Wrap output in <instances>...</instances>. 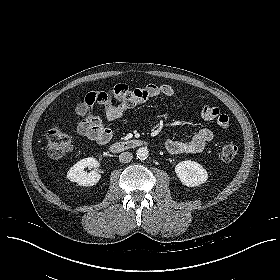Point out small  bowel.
I'll use <instances>...</instances> for the list:
<instances>
[{
    "label": "small bowel",
    "instance_id": "small-bowel-1",
    "mask_svg": "<svg viewBox=\"0 0 280 280\" xmlns=\"http://www.w3.org/2000/svg\"><path fill=\"white\" fill-rule=\"evenodd\" d=\"M174 94V88L168 84H149L137 89H131L127 84H118L110 91H90L75 109L77 116L80 118L77 124V132L82 136L91 137L90 132L93 129L107 130L110 134L109 141L112 136L110 129L105 127L100 118L93 113V108L96 104L102 106L105 116L109 121H115L121 118L128 109L143 105L151 98L158 96L172 97ZM209 108L204 107L201 110L203 117ZM213 137L214 134L210 129L202 128L189 140H167L165 149L171 154L196 152L202 150L212 141ZM98 140L100 142H107L103 139Z\"/></svg>",
    "mask_w": 280,
    "mask_h": 280
}]
</instances>
